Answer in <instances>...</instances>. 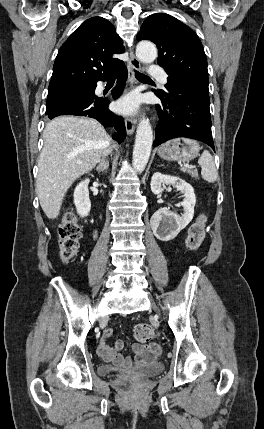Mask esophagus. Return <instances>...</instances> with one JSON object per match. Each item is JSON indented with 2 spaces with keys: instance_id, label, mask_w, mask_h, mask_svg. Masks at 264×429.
Returning a JSON list of instances; mask_svg holds the SVG:
<instances>
[{
  "instance_id": "34e87169",
  "label": "esophagus",
  "mask_w": 264,
  "mask_h": 429,
  "mask_svg": "<svg viewBox=\"0 0 264 429\" xmlns=\"http://www.w3.org/2000/svg\"><path fill=\"white\" fill-rule=\"evenodd\" d=\"M140 69V62L133 54V51L130 49V62L128 67V76L129 83L131 86L135 83V72ZM136 119L134 117L125 118L126 131L129 135H132L136 128Z\"/></svg>"
}]
</instances>
